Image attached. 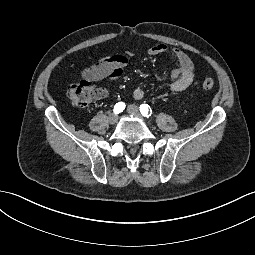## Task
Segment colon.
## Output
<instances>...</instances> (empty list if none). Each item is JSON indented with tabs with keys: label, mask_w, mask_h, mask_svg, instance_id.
Instances as JSON below:
<instances>
[{
	"label": "colon",
	"mask_w": 255,
	"mask_h": 255,
	"mask_svg": "<svg viewBox=\"0 0 255 255\" xmlns=\"http://www.w3.org/2000/svg\"><path fill=\"white\" fill-rule=\"evenodd\" d=\"M215 83L211 78H207L202 82L204 90L213 89ZM67 97L78 107H87L99 94V92L88 82L72 84L67 88Z\"/></svg>",
	"instance_id": "colon-1"
}]
</instances>
